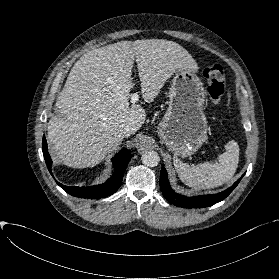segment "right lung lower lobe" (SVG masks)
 <instances>
[{"label": "right lung lower lobe", "instance_id": "right-lung-lower-lobe-1", "mask_svg": "<svg viewBox=\"0 0 279 279\" xmlns=\"http://www.w3.org/2000/svg\"><path fill=\"white\" fill-rule=\"evenodd\" d=\"M42 151L43 156L48 167V170L51 172V164L52 160L48 153L47 149V141L45 136H43L42 140ZM133 155L128 151H120L113 158V165L115 168L114 174L111 178H109L105 183L90 187H69L60 184L58 181L57 184L63 188L67 193L72 196L80 197V198H104L107 197L118 190L122 183L123 175L129 160Z\"/></svg>", "mask_w": 279, "mask_h": 279}]
</instances>
